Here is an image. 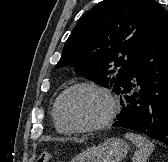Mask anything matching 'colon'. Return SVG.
Returning <instances> with one entry per match:
<instances>
[{
  "mask_svg": "<svg viewBox=\"0 0 168 162\" xmlns=\"http://www.w3.org/2000/svg\"><path fill=\"white\" fill-rule=\"evenodd\" d=\"M52 159V154L49 152H43L39 155L36 162H49Z\"/></svg>",
  "mask_w": 168,
  "mask_h": 162,
  "instance_id": "obj_1",
  "label": "colon"
}]
</instances>
